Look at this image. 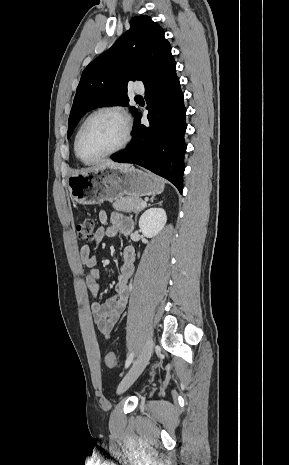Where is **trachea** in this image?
<instances>
[{"label":"trachea","instance_id":"1","mask_svg":"<svg viewBox=\"0 0 289 465\" xmlns=\"http://www.w3.org/2000/svg\"><path fill=\"white\" fill-rule=\"evenodd\" d=\"M136 98H141V96H140V95H137Z\"/></svg>","mask_w":289,"mask_h":465}]
</instances>
